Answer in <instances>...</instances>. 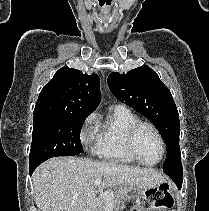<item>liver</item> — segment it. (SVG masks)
<instances>
[{
  "instance_id": "obj_1",
  "label": "liver",
  "mask_w": 209,
  "mask_h": 211,
  "mask_svg": "<svg viewBox=\"0 0 209 211\" xmlns=\"http://www.w3.org/2000/svg\"><path fill=\"white\" fill-rule=\"evenodd\" d=\"M101 188L134 186L142 190L164 180L152 168H138L79 157H55L42 163L32 175L34 200L39 211H98L95 180ZM99 186V185H98Z\"/></svg>"
}]
</instances>
